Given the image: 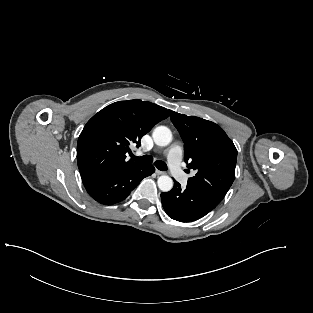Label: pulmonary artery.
Returning <instances> with one entry per match:
<instances>
[{"instance_id":"1","label":"pulmonary artery","mask_w":313,"mask_h":313,"mask_svg":"<svg viewBox=\"0 0 313 313\" xmlns=\"http://www.w3.org/2000/svg\"><path fill=\"white\" fill-rule=\"evenodd\" d=\"M182 147L178 144L172 145L167 151V159L170 171L173 177L181 184L185 185L188 181V176L181 168Z\"/></svg>"}]
</instances>
